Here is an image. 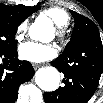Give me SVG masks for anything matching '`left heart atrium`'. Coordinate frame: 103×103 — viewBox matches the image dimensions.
Masks as SVG:
<instances>
[{
    "label": "left heart atrium",
    "instance_id": "obj_1",
    "mask_svg": "<svg viewBox=\"0 0 103 103\" xmlns=\"http://www.w3.org/2000/svg\"><path fill=\"white\" fill-rule=\"evenodd\" d=\"M55 55V48L48 44L29 41L21 44L19 47L20 58L33 63L44 62L55 57Z\"/></svg>",
    "mask_w": 103,
    "mask_h": 103
}]
</instances>
